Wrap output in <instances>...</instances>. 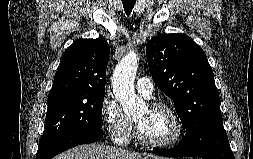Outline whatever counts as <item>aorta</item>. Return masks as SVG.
<instances>
[{
  "label": "aorta",
  "instance_id": "1",
  "mask_svg": "<svg viewBox=\"0 0 253 159\" xmlns=\"http://www.w3.org/2000/svg\"><path fill=\"white\" fill-rule=\"evenodd\" d=\"M137 69L138 58L130 52L119 62L113 74V93L126 114H133L144 107L143 99L136 95L134 89Z\"/></svg>",
  "mask_w": 253,
  "mask_h": 159
}]
</instances>
